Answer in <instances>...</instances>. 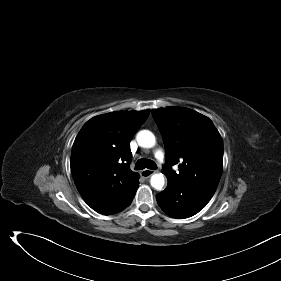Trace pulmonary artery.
<instances>
[{
  "instance_id": "e3ab8cb5",
  "label": "pulmonary artery",
  "mask_w": 281,
  "mask_h": 281,
  "mask_svg": "<svg viewBox=\"0 0 281 281\" xmlns=\"http://www.w3.org/2000/svg\"><path fill=\"white\" fill-rule=\"evenodd\" d=\"M155 156L156 158L161 162V163H164L165 162V159H164V155L161 151H157L155 153Z\"/></svg>"
}]
</instances>
